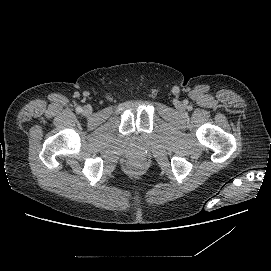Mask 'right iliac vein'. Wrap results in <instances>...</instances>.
I'll use <instances>...</instances> for the list:
<instances>
[{
  "label": "right iliac vein",
  "instance_id": "1",
  "mask_svg": "<svg viewBox=\"0 0 271 271\" xmlns=\"http://www.w3.org/2000/svg\"><path fill=\"white\" fill-rule=\"evenodd\" d=\"M82 111H83L84 114L88 115V114L92 113V108H91V106L86 105V106L83 107Z\"/></svg>",
  "mask_w": 271,
  "mask_h": 271
}]
</instances>
